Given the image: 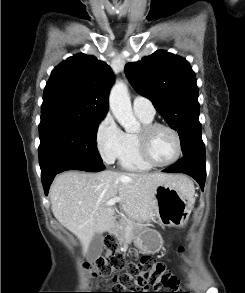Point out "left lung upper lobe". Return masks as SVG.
I'll use <instances>...</instances> for the list:
<instances>
[{
    "label": "left lung upper lobe",
    "mask_w": 245,
    "mask_h": 293,
    "mask_svg": "<svg viewBox=\"0 0 245 293\" xmlns=\"http://www.w3.org/2000/svg\"><path fill=\"white\" fill-rule=\"evenodd\" d=\"M125 72L134 88L178 131L183 156L205 160L198 87L186 59L159 50L139 62L127 63Z\"/></svg>",
    "instance_id": "obj_1"
}]
</instances>
